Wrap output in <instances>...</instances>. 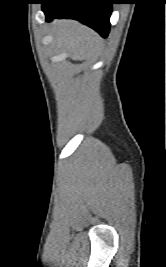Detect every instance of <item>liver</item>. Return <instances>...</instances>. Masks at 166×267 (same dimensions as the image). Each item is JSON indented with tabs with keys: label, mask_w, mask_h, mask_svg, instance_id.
<instances>
[{
	"label": "liver",
	"mask_w": 166,
	"mask_h": 267,
	"mask_svg": "<svg viewBox=\"0 0 166 267\" xmlns=\"http://www.w3.org/2000/svg\"><path fill=\"white\" fill-rule=\"evenodd\" d=\"M54 42L71 52L73 60H82L98 49L101 37L92 29L74 20L53 22Z\"/></svg>",
	"instance_id": "6515ba94"
}]
</instances>
